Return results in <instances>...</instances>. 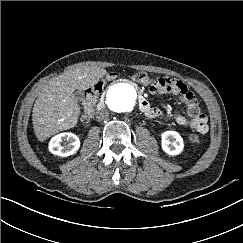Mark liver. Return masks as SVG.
Wrapping results in <instances>:
<instances>
[{
	"label": "liver",
	"mask_w": 243,
	"mask_h": 243,
	"mask_svg": "<svg viewBox=\"0 0 243 243\" xmlns=\"http://www.w3.org/2000/svg\"><path fill=\"white\" fill-rule=\"evenodd\" d=\"M107 71L88 66L70 70L43 86L32 110L35 135L41 142L59 131L73 128L80 115L75 90L85 91L95 85Z\"/></svg>",
	"instance_id": "1"
}]
</instances>
